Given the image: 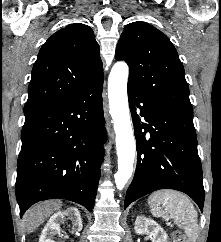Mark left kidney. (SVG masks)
I'll use <instances>...</instances> for the list:
<instances>
[{
  "label": "left kidney",
  "mask_w": 221,
  "mask_h": 242,
  "mask_svg": "<svg viewBox=\"0 0 221 242\" xmlns=\"http://www.w3.org/2000/svg\"><path fill=\"white\" fill-rule=\"evenodd\" d=\"M134 230L136 234L152 235V242H168L167 234L164 229L156 223L153 219L145 216H138L135 220Z\"/></svg>",
  "instance_id": "5707ae66"
}]
</instances>
